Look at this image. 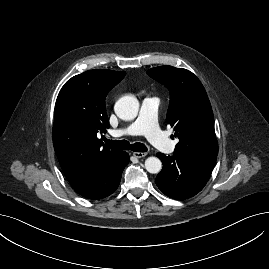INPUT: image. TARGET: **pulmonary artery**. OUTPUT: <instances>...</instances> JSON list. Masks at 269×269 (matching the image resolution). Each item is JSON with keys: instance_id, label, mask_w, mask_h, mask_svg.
<instances>
[{"instance_id": "1", "label": "pulmonary artery", "mask_w": 269, "mask_h": 269, "mask_svg": "<svg viewBox=\"0 0 269 269\" xmlns=\"http://www.w3.org/2000/svg\"><path fill=\"white\" fill-rule=\"evenodd\" d=\"M159 100L157 98H145L140 107L137 118L124 128L117 129L113 134L117 137L127 135H144L157 149L165 153H173L176 143L170 140L157 125Z\"/></svg>"}]
</instances>
